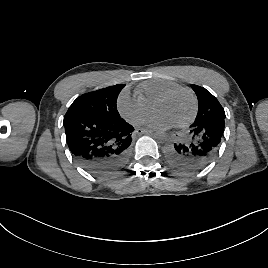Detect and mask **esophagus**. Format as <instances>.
I'll list each match as a JSON object with an SVG mask.
<instances>
[{
    "label": "esophagus",
    "instance_id": "obj_1",
    "mask_svg": "<svg viewBox=\"0 0 268 268\" xmlns=\"http://www.w3.org/2000/svg\"><path fill=\"white\" fill-rule=\"evenodd\" d=\"M151 132H152L151 130L144 129V128H137L136 129V133L139 135L147 134V133H151Z\"/></svg>",
    "mask_w": 268,
    "mask_h": 268
}]
</instances>
